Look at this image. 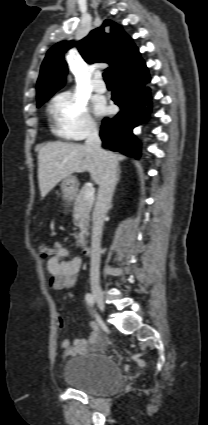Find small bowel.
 Wrapping results in <instances>:
<instances>
[{"label":"small bowel","instance_id":"c3829d8e","mask_svg":"<svg viewBox=\"0 0 208 425\" xmlns=\"http://www.w3.org/2000/svg\"><path fill=\"white\" fill-rule=\"evenodd\" d=\"M68 256L69 251L66 247L58 242L54 244V254L47 261V270L50 276V288L55 291L73 287L79 278L81 260L77 257L66 260ZM57 322L60 327L64 325L62 317H58ZM89 326L90 330L87 338H77L73 341L64 339L61 341L60 347L66 356L83 354L99 344V328L97 324L90 322Z\"/></svg>","mask_w":208,"mask_h":425}]
</instances>
